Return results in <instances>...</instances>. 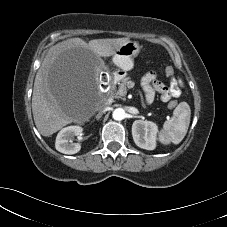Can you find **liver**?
I'll list each match as a JSON object with an SVG mask.
<instances>
[{"instance_id":"obj_1","label":"liver","mask_w":227,"mask_h":227,"mask_svg":"<svg viewBox=\"0 0 227 227\" xmlns=\"http://www.w3.org/2000/svg\"><path fill=\"white\" fill-rule=\"evenodd\" d=\"M129 38H70L51 46L36 74L32 95L35 125L43 136L78 121L80 98L98 86L100 57L114 55ZM69 73V80H62Z\"/></svg>"}]
</instances>
